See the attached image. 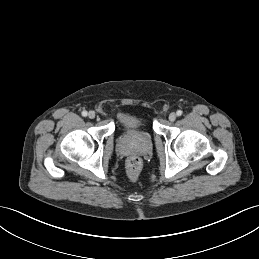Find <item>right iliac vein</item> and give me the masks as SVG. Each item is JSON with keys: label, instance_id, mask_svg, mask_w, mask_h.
I'll list each match as a JSON object with an SVG mask.
<instances>
[{"label": "right iliac vein", "instance_id": "obj_1", "mask_svg": "<svg viewBox=\"0 0 259 259\" xmlns=\"http://www.w3.org/2000/svg\"><path fill=\"white\" fill-rule=\"evenodd\" d=\"M95 116H96V114H95L94 111H90V112L88 113V117H89L90 119H94Z\"/></svg>", "mask_w": 259, "mask_h": 259}]
</instances>
